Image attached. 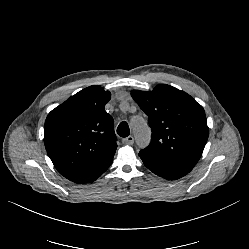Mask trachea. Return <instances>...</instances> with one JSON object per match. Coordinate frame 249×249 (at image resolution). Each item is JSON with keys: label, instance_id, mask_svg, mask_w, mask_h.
<instances>
[{"label": "trachea", "instance_id": "obj_1", "mask_svg": "<svg viewBox=\"0 0 249 249\" xmlns=\"http://www.w3.org/2000/svg\"><path fill=\"white\" fill-rule=\"evenodd\" d=\"M117 134L123 138L127 137L130 134V128L128 123L123 121L117 127Z\"/></svg>", "mask_w": 249, "mask_h": 249}]
</instances>
